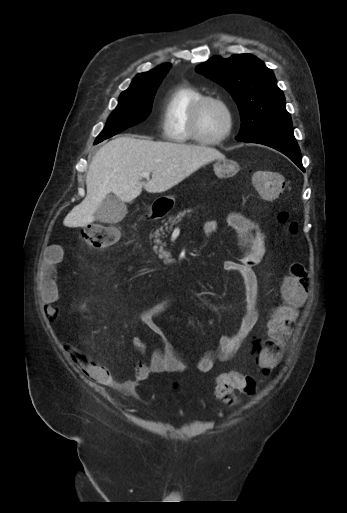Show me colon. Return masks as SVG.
I'll return each mask as SVG.
<instances>
[{"instance_id":"colon-1","label":"colon","mask_w":347,"mask_h":513,"mask_svg":"<svg viewBox=\"0 0 347 513\" xmlns=\"http://www.w3.org/2000/svg\"><path fill=\"white\" fill-rule=\"evenodd\" d=\"M253 185L266 200H277L284 191L283 176L276 171H257L253 174ZM280 220L288 222L291 233L299 231V225L289 220L287 213ZM83 240L90 250H101L113 246L120 239L117 228L92 224L82 231ZM308 271L302 263H294L280 286L281 304L275 306L268 321V338L260 340L257 346V370L261 377L270 378L279 368L283 356V346L289 339L297 318V308L305 300L308 292ZM256 381L252 376L238 372H226L218 376L215 386L217 399L232 403L234 392L253 394Z\"/></svg>"}]
</instances>
